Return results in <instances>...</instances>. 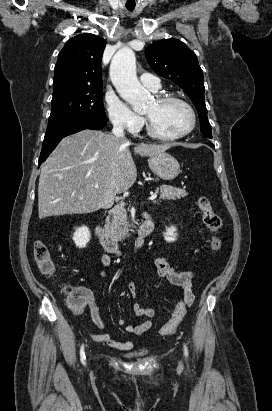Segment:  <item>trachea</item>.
Segmentation results:
<instances>
[{
  "instance_id": "trachea-1",
  "label": "trachea",
  "mask_w": 272,
  "mask_h": 411,
  "mask_svg": "<svg viewBox=\"0 0 272 411\" xmlns=\"http://www.w3.org/2000/svg\"><path fill=\"white\" fill-rule=\"evenodd\" d=\"M126 8H127V10H129V11H133L134 8H135V6H126Z\"/></svg>"
}]
</instances>
